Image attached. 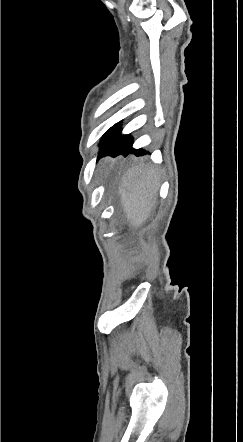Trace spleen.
<instances>
[{
  "label": "spleen",
  "instance_id": "spleen-1",
  "mask_svg": "<svg viewBox=\"0 0 243 442\" xmlns=\"http://www.w3.org/2000/svg\"><path fill=\"white\" fill-rule=\"evenodd\" d=\"M150 175L148 171H135L129 174V183L125 189L130 193H124L123 200L125 202L126 210L129 218L132 219L135 225H140L147 216V202L135 192H151L154 186L151 181L146 178Z\"/></svg>",
  "mask_w": 243,
  "mask_h": 442
}]
</instances>
